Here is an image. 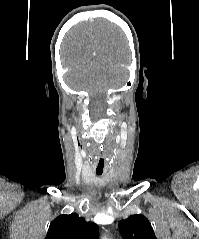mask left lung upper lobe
Returning <instances> with one entry per match:
<instances>
[{
	"instance_id": "left-lung-upper-lobe-1",
	"label": "left lung upper lobe",
	"mask_w": 199,
	"mask_h": 239,
	"mask_svg": "<svg viewBox=\"0 0 199 239\" xmlns=\"http://www.w3.org/2000/svg\"><path fill=\"white\" fill-rule=\"evenodd\" d=\"M123 239H157L148 219L143 215H131L119 222Z\"/></svg>"
}]
</instances>
